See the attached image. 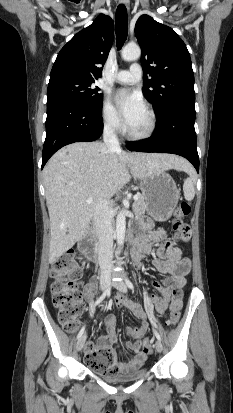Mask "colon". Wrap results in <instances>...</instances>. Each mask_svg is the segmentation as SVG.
<instances>
[{"label": "colon", "instance_id": "obj_1", "mask_svg": "<svg viewBox=\"0 0 233 413\" xmlns=\"http://www.w3.org/2000/svg\"><path fill=\"white\" fill-rule=\"evenodd\" d=\"M190 211V204L186 201H182L176 208L172 226L175 239L178 238L179 233L187 231L183 219L189 215ZM51 276L54 279L51 285L52 301L57 309L58 320L66 331L72 332L84 308L82 293L79 289L81 269L72 251H66L53 262ZM179 319L180 307L176 304L171 308L169 324L175 326ZM151 343L149 338L143 341V349L146 353L151 351ZM86 363L101 374L113 375L119 372L116 353L110 348L101 349L97 357L88 356Z\"/></svg>", "mask_w": 233, "mask_h": 413}]
</instances>
